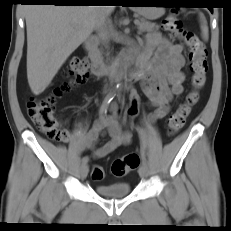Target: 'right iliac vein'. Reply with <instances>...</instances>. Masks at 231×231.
<instances>
[{
	"instance_id": "63e3f726",
	"label": "right iliac vein",
	"mask_w": 231,
	"mask_h": 231,
	"mask_svg": "<svg viewBox=\"0 0 231 231\" xmlns=\"http://www.w3.org/2000/svg\"><path fill=\"white\" fill-rule=\"evenodd\" d=\"M88 172H89L88 165L87 164L82 165L80 168V179L84 180L87 177Z\"/></svg>"
}]
</instances>
